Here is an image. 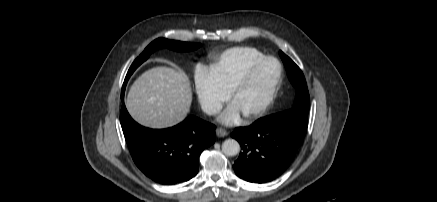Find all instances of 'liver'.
I'll use <instances>...</instances> for the list:
<instances>
[{"mask_svg":"<svg viewBox=\"0 0 437 202\" xmlns=\"http://www.w3.org/2000/svg\"><path fill=\"white\" fill-rule=\"evenodd\" d=\"M191 102L190 81L182 70L155 67L135 80L125 104L136 122L161 129L181 122L187 116Z\"/></svg>","mask_w":437,"mask_h":202,"instance_id":"6515ba94","label":"liver"}]
</instances>
